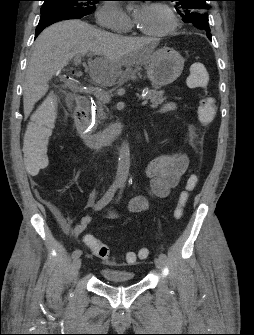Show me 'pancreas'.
I'll list each match as a JSON object with an SVG mask.
<instances>
[{
    "mask_svg": "<svg viewBox=\"0 0 254 335\" xmlns=\"http://www.w3.org/2000/svg\"><path fill=\"white\" fill-rule=\"evenodd\" d=\"M163 95H164L163 91H157L155 89L148 91L146 95V100H150V103H151L150 107L152 109L157 108L159 105L164 103V101L166 100V97H164ZM105 117H106V114L104 112V105L102 102H99L98 107H97L98 122L101 123V121L104 120Z\"/></svg>",
    "mask_w": 254,
    "mask_h": 335,
    "instance_id": "cf45deb5",
    "label": "pancreas"
}]
</instances>
